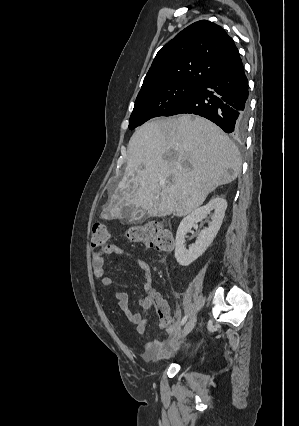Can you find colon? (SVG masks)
<instances>
[{"mask_svg": "<svg viewBox=\"0 0 299 426\" xmlns=\"http://www.w3.org/2000/svg\"><path fill=\"white\" fill-rule=\"evenodd\" d=\"M126 236L129 240L144 244L149 248L168 251L173 247L171 233L160 223L150 222L130 228ZM91 245L100 253H109L111 243L109 232L103 223H95L92 228Z\"/></svg>", "mask_w": 299, "mask_h": 426, "instance_id": "obj_1", "label": "colon"}]
</instances>
